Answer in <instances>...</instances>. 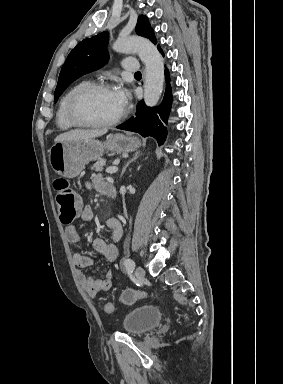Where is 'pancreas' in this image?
<instances>
[{
    "label": "pancreas",
    "mask_w": 283,
    "mask_h": 384,
    "mask_svg": "<svg viewBox=\"0 0 283 384\" xmlns=\"http://www.w3.org/2000/svg\"><path fill=\"white\" fill-rule=\"evenodd\" d=\"M105 164H106V160H99V162H96V164H94L91 170H95V172H102L103 166H105Z\"/></svg>",
    "instance_id": "obj_1"
}]
</instances>
